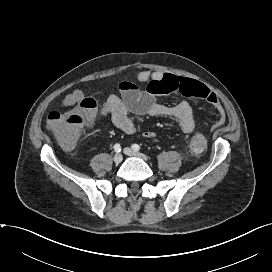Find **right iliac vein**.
I'll list each match as a JSON object with an SVG mask.
<instances>
[{
	"mask_svg": "<svg viewBox=\"0 0 272 272\" xmlns=\"http://www.w3.org/2000/svg\"><path fill=\"white\" fill-rule=\"evenodd\" d=\"M113 160H114V162H115L116 164L121 163V162H122V160H123V156H122V154H120V153H116V154L114 155Z\"/></svg>",
	"mask_w": 272,
	"mask_h": 272,
	"instance_id": "63e3f726",
	"label": "right iliac vein"
}]
</instances>
